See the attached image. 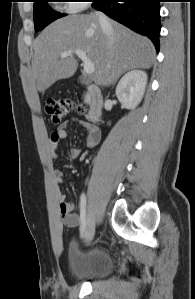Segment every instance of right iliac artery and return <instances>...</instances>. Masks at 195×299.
<instances>
[{
    "label": "right iliac artery",
    "instance_id": "right-iliac-artery-1",
    "mask_svg": "<svg viewBox=\"0 0 195 299\" xmlns=\"http://www.w3.org/2000/svg\"><path fill=\"white\" fill-rule=\"evenodd\" d=\"M80 217H81L80 232H81V236L84 237V232H85V227H86V195H85V193H82L81 197H80Z\"/></svg>",
    "mask_w": 195,
    "mask_h": 299
}]
</instances>
